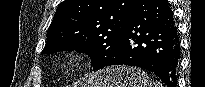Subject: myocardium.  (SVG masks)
<instances>
[{
    "label": "myocardium",
    "mask_w": 205,
    "mask_h": 87,
    "mask_svg": "<svg viewBox=\"0 0 205 87\" xmlns=\"http://www.w3.org/2000/svg\"><path fill=\"white\" fill-rule=\"evenodd\" d=\"M83 62V55L78 51L61 54L55 62V69L59 74H68L79 68Z\"/></svg>",
    "instance_id": "obj_1"
}]
</instances>
